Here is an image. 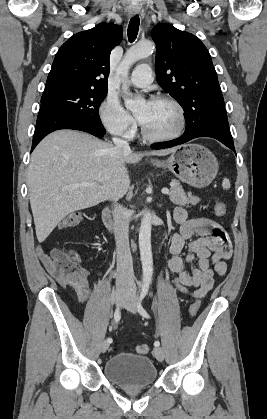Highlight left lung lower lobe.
<instances>
[{
  "label": "left lung lower lobe",
  "mask_w": 267,
  "mask_h": 419,
  "mask_svg": "<svg viewBox=\"0 0 267 419\" xmlns=\"http://www.w3.org/2000/svg\"><path fill=\"white\" fill-rule=\"evenodd\" d=\"M197 137H212L222 142L235 152L233 138L230 132L227 115L221 112H209L186 125L185 132L179 138L171 141L153 144V149H164L186 143Z\"/></svg>",
  "instance_id": "left-lung-lower-lobe-1"
}]
</instances>
